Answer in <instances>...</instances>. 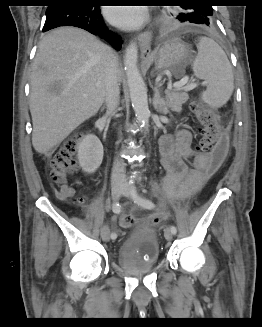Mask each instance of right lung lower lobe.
Masks as SVG:
<instances>
[{
    "label": "right lung lower lobe",
    "mask_w": 262,
    "mask_h": 327,
    "mask_svg": "<svg viewBox=\"0 0 262 327\" xmlns=\"http://www.w3.org/2000/svg\"><path fill=\"white\" fill-rule=\"evenodd\" d=\"M53 3L46 10L43 32L60 26H75L105 38L116 50L121 49L122 40L105 26L100 6L82 5L78 0H55Z\"/></svg>",
    "instance_id": "right-lung-lower-lobe-1"
}]
</instances>
